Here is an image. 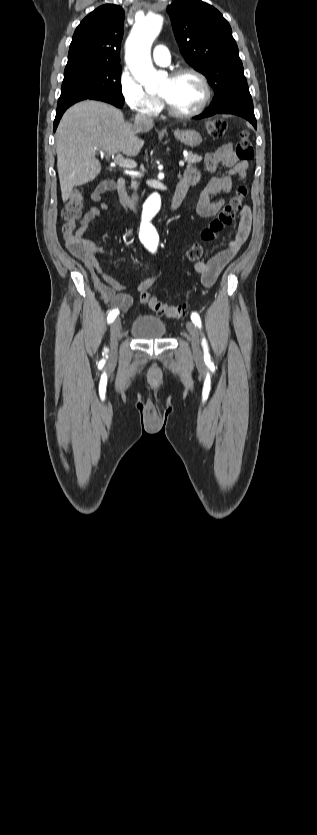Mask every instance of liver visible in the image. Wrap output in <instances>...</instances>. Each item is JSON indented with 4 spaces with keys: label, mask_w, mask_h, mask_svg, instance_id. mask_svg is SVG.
<instances>
[{
    "label": "liver",
    "mask_w": 317,
    "mask_h": 835,
    "mask_svg": "<svg viewBox=\"0 0 317 835\" xmlns=\"http://www.w3.org/2000/svg\"><path fill=\"white\" fill-rule=\"evenodd\" d=\"M134 124L124 121L121 110L99 101L86 100L71 106L56 130L57 169L63 202L74 186L94 180L101 171L96 151L122 152L136 156L144 141Z\"/></svg>",
    "instance_id": "1"
}]
</instances>
